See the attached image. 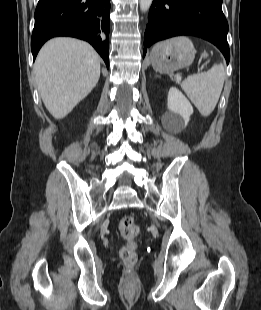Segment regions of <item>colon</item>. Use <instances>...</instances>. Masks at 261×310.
<instances>
[{
	"label": "colon",
	"mask_w": 261,
	"mask_h": 310,
	"mask_svg": "<svg viewBox=\"0 0 261 310\" xmlns=\"http://www.w3.org/2000/svg\"><path fill=\"white\" fill-rule=\"evenodd\" d=\"M119 232L126 244L120 249V258L127 266H133L137 262L136 238L140 233L139 225L133 216H123L118 225Z\"/></svg>",
	"instance_id": "colon-1"
}]
</instances>
